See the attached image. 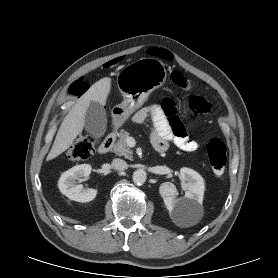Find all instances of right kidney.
<instances>
[{"label": "right kidney", "mask_w": 278, "mask_h": 278, "mask_svg": "<svg viewBox=\"0 0 278 278\" xmlns=\"http://www.w3.org/2000/svg\"><path fill=\"white\" fill-rule=\"evenodd\" d=\"M91 169L89 164H81L64 172L58 181L60 192L70 200L77 202L86 203L92 201L97 195V190L84 189L82 184H76V181L81 180L82 177H88Z\"/></svg>", "instance_id": "1"}]
</instances>
